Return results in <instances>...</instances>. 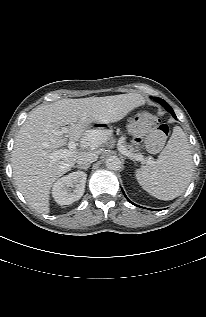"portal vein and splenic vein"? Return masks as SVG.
<instances>
[{
    "mask_svg": "<svg viewBox=\"0 0 206 317\" xmlns=\"http://www.w3.org/2000/svg\"><path fill=\"white\" fill-rule=\"evenodd\" d=\"M66 132H67V127H62V129L60 131V134H65ZM84 143L89 144L90 142L88 141V142H84ZM76 147H77V143L75 141H73V140H70L68 142V148L69 149L56 150V151L50 153L48 157L52 161H56V160H59V159H63V158L69 157V156H71L74 153V151L76 150ZM119 150H120V152L122 154L130 157L131 159H134L136 161H141V162L144 161V157L142 155L131 153L130 151H128L122 145L119 146Z\"/></svg>",
    "mask_w": 206,
    "mask_h": 317,
    "instance_id": "1",
    "label": "portal vein and splenic vein"
}]
</instances>
